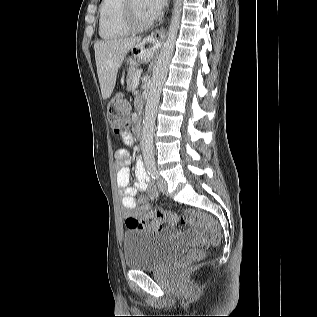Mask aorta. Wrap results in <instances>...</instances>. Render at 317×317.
I'll list each match as a JSON object with an SVG mask.
<instances>
[{
  "label": "aorta",
  "instance_id": "1",
  "mask_svg": "<svg viewBox=\"0 0 317 317\" xmlns=\"http://www.w3.org/2000/svg\"><path fill=\"white\" fill-rule=\"evenodd\" d=\"M182 10V0H175L173 16L167 33V38L162 45L157 62L153 68V75L149 82V93L143 120L141 148L144 162L147 167L155 164L153 135L157 108L162 87L167 78L169 64L174 53V46L179 30Z\"/></svg>",
  "mask_w": 317,
  "mask_h": 317
}]
</instances>
